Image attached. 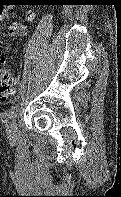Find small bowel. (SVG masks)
Wrapping results in <instances>:
<instances>
[{"mask_svg": "<svg viewBox=\"0 0 121 197\" xmlns=\"http://www.w3.org/2000/svg\"><path fill=\"white\" fill-rule=\"evenodd\" d=\"M16 15L14 13H10L8 8L0 7V22L5 19H15Z\"/></svg>", "mask_w": 121, "mask_h": 197, "instance_id": "c3829d8e", "label": "small bowel"}]
</instances>
